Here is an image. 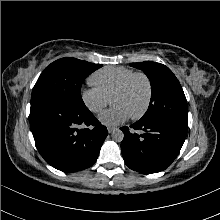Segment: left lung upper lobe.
<instances>
[{
	"mask_svg": "<svg viewBox=\"0 0 220 220\" xmlns=\"http://www.w3.org/2000/svg\"><path fill=\"white\" fill-rule=\"evenodd\" d=\"M147 75L151 84L148 110L139 120H169L188 129L187 101L183 89L173 72L163 64L145 61L131 63Z\"/></svg>",
	"mask_w": 220,
	"mask_h": 220,
	"instance_id": "left-lung-upper-lobe-1",
	"label": "left lung upper lobe"
}]
</instances>
